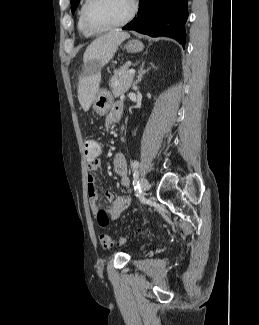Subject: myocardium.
<instances>
[{
	"mask_svg": "<svg viewBox=\"0 0 259 325\" xmlns=\"http://www.w3.org/2000/svg\"><path fill=\"white\" fill-rule=\"evenodd\" d=\"M95 2H97V0H86V3L82 10V22H83L84 27L88 31L95 33V34L105 32L108 30H112V29H115V28H118V27H121V26L127 24L135 16V14L137 12V2H136V0H131V9H130L129 13L122 20L112 23V24H109V25L96 26V25L92 24L89 20V11Z\"/></svg>",
	"mask_w": 259,
	"mask_h": 325,
	"instance_id": "obj_1",
	"label": "myocardium"
}]
</instances>
